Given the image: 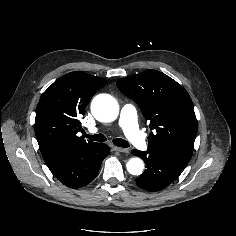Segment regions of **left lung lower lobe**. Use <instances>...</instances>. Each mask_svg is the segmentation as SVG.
Masks as SVG:
<instances>
[{
	"label": "left lung lower lobe",
	"instance_id": "0a47b994",
	"mask_svg": "<svg viewBox=\"0 0 236 236\" xmlns=\"http://www.w3.org/2000/svg\"><path fill=\"white\" fill-rule=\"evenodd\" d=\"M132 154L142 158L146 170L136 179L138 187L149 191H161L176 180L186 166H182L156 150H133Z\"/></svg>",
	"mask_w": 236,
	"mask_h": 236
}]
</instances>
